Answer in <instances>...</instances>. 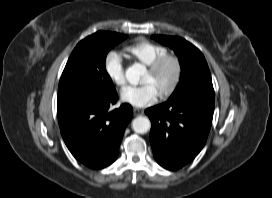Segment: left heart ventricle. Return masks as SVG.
<instances>
[{"instance_id": "left-heart-ventricle-1", "label": "left heart ventricle", "mask_w": 272, "mask_h": 198, "mask_svg": "<svg viewBox=\"0 0 272 198\" xmlns=\"http://www.w3.org/2000/svg\"><path fill=\"white\" fill-rule=\"evenodd\" d=\"M174 76V67L172 64L165 65L157 74H151L148 70L143 78V83H151L158 94L166 89Z\"/></svg>"}]
</instances>
